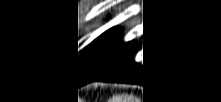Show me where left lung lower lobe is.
Wrapping results in <instances>:
<instances>
[{
    "label": "left lung lower lobe",
    "instance_id": "left-lung-lower-lobe-1",
    "mask_svg": "<svg viewBox=\"0 0 221 102\" xmlns=\"http://www.w3.org/2000/svg\"><path fill=\"white\" fill-rule=\"evenodd\" d=\"M121 34L119 30L109 44L100 52L93 63L75 78L78 85L92 81L142 84L145 80V67L139 62L137 42L112 44Z\"/></svg>",
    "mask_w": 221,
    "mask_h": 102
}]
</instances>
